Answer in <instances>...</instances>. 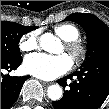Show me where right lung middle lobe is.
<instances>
[{
    "label": "right lung middle lobe",
    "mask_w": 109,
    "mask_h": 109,
    "mask_svg": "<svg viewBox=\"0 0 109 109\" xmlns=\"http://www.w3.org/2000/svg\"><path fill=\"white\" fill-rule=\"evenodd\" d=\"M36 28L37 26H23L15 22L1 21V58H21L18 45L20 38Z\"/></svg>",
    "instance_id": "1"
}]
</instances>
